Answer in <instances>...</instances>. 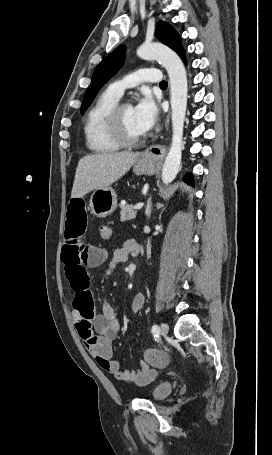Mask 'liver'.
I'll use <instances>...</instances> for the list:
<instances>
[{"mask_svg":"<svg viewBox=\"0 0 272 455\" xmlns=\"http://www.w3.org/2000/svg\"><path fill=\"white\" fill-rule=\"evenodd\" d=\"M139 156V152H118L83 157L76 168L71 197L80 198L92 190L110 186L131 168Z\"/></svg>","mask_w":272,"mask_h":455,"instance_id":"6515ba94","label":"liver"}]
</instances>
